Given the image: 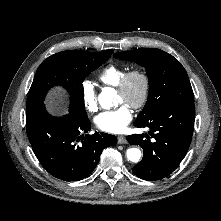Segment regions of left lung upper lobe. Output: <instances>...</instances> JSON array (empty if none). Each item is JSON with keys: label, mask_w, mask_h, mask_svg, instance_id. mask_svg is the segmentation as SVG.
Masks as SVG:
<instances>
[{"label": "left lung upper lobe", "mask_w": 221, "mask_h": 221, "mask_svg": "<svg viewBox=\"0 0 221 221\" xmlns=\"http://www.w3.org/2000/svg\"><path fill=\"white\" fill-rule=\"evenodd\" d=\"M146 68L149 80L147 102L135 122L148 119L159 109L181 103H194V95L184 67L172 55L156 48L115 53Z\"/></svg>", "instance_id": "left-lung-upper-lobe-1"}]
</instances>
